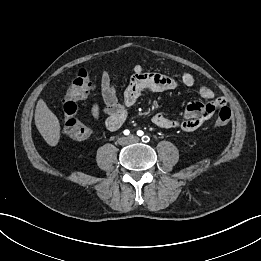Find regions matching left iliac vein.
Listing matches in <instances>:
<instances>
[{"label": "left iliac vein", "instance_id": "4c4485c4", "mask_svg": "<svg viewBox=\"0 0 261 261\" xmlns=\"http://www.w3.org/2000/svg\"><path fill=\"white\" fill-rule=\"evenodd\" d=\"M128 140H129L130 142H138L140 139H139V137H137V136L130 135V136L128 137Z\"/></svg>", "mask_w": 261, "mask_h": 261}]
</instances>
